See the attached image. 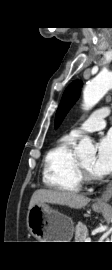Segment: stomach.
I'll return each instance as SVG.
<instances>
[{
	"label": "stomach",
	"instance_id": "stomach-1",
	"mask_svg": "<svg viewBox=\"0 0 112 270\" xmlns=\"http://www.w3.org/2000/svg\"><path fill=\"white\" fill-rule=\"evenodd\" d=\"M93 210L101 212L103 207L93 206ZM27 227L39 242H70L73 236L72 219L46 203L35 204L29 209Z\"/></svg>",
	"mask_w": 112,
	"mask_h": 270
}]
</instances>
